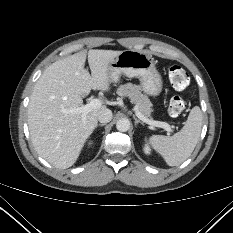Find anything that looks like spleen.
<instances>
[{"label":"spleen","mask_w":233,"mask_h":233,"mask_svg":"<svg viewBox=\"0 0 233 233\" xmlns=\"http://www.w3.org/2000/svg\"><path fill=\"white\" fill-rule=\"evenodd\" d=\"M202 118L201 109L195 106L178 133L173 136L150 137V144L163 156L169 166L180 165L191 155L200 137Z\"/></svg>","instance_id":"obj_1"}]
</instances>
